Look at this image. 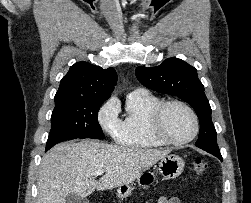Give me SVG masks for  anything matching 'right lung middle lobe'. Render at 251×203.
<instances>
[{"label": "right lung middle lobe", "instance_id": "obj_1", "mask_svg": "<svg viewBox=\"0 0 251 203\" xmlns=\"http://www.w3.org/2000/svg\"><path fill=\"white\" fill-rule=\"evenodd\" d=\"M102 103L99 100H82L55 106L46 151L65 140L104 138L97 118Z\"/></svg>", "mask_w": 251, "mask_h": 203}]
</instances>
